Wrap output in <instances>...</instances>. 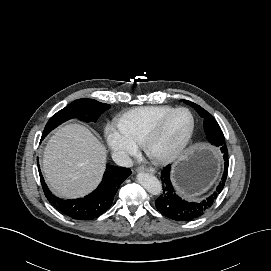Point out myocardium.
Listing matches in <instances>:
<instances>
[{"instance_id": "1", "label": "myocardium", "mask_w": 271, "mask_h": 271, "mask_svg": "<svg viewBox=\"0 0 271 271\" xmlns=\"http://www.w3.org/2000/svg\"><path fill=\"white\" fill-rule=\"evenodd\" d=\"M187 112L191 117V129L185 140L179 144L177 147L165 151V152H155L153 150V145L156 140L162 135L166 125L168 124L169 120L178 112ZM196 129V120L193 112L186 108V107H178L174 108L171 112H169L166 116H164L145 136L143 139L141 146L144 153L154 162L159 164H168L173 162L178 157H180L190 146L194 133Z\"/></svg>"}]
</instances>
